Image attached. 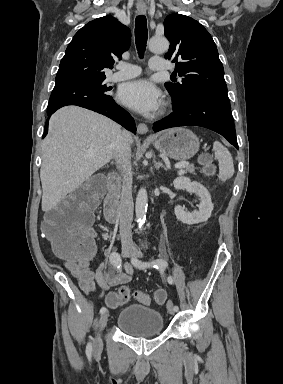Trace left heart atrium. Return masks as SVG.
Wrapping results in <instances>:
<instances>
[{
	"label": "left heart atrium",
	"mask_w": 283,
	"mask_h": 384,
	"mask_svg": "<svg viewBox=\"0 0 283 384\" xmlns=\"http://www.w3.org/2000/svg\"><path fill=\"white\" fill-rule=\"evenodd\" d=\"M118 100L141 114H152L160 107L161 93L150 81L141 79L123 85Z\"/></svg>",
	"instance_id": "left-heart-atrium-1"
}]
</instances>
